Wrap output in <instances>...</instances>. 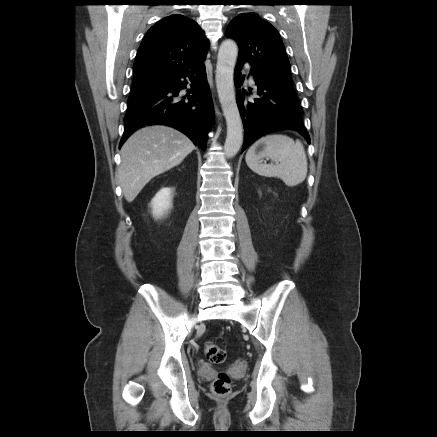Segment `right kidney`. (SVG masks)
Here are the masks:
<instances>
[{
    "label": "right kidney",
    "instance_id": "ca27d5eb",
    "mask_svg": "<svg viewBox=\"0 0 437 437\" xmlns=\"http://www.w3.org/2000/svg\"><path fill=\"white\" fill-rule=\"evenodd\" d=\"M172 190L170 188H162L156 193L151 201L152 215L156 219H160L168 213L171 208Z\"/></svg>",
    "mask_w": 437,
    "mask_h": 437
}]
</instances>
